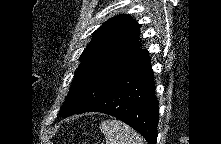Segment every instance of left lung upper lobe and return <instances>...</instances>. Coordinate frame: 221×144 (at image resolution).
Wrapping results in <instances>:
<instances>
[{
	"label": "left lung upper lobe",
	"mask_w": 221,
	"mask_h": 144,
	"mask_svg": "<svg viewBox=\"0 0 221 144\" xmlns=\"http://www.w3.org/2000/svg\"><path fill=\"white\" fill-rule=\"evenodd\" d=\"M139 24L128 15H119L102 24L81 54L60 114L68 117L89 109L105 93L115 79L144 50L138 46Z\"/></svg>",
	"instance_id": "left-lung-upper-lobe-1"
}]
</instances>
